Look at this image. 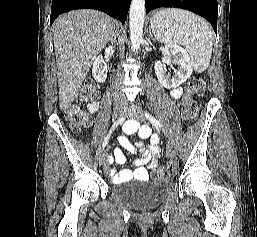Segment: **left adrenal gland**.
<instances>
[{
    "instance_id": "1",
    "label": "left adrenal gland",
    "mask_w": 257,
    "mask_h": 237,
    "mask_svg": "<svg viewBox=\"0 0 257 237\" xmlns=\"http://www.w3.org/2000/svg\"><path fill=\"white\" fill-rule=\"evenodd\" d=\"M148 36H149V38H151L153 41L155 40V39L153 38V35H152V32H151V28H149Z\"/></svg>"
}]
</instances>
